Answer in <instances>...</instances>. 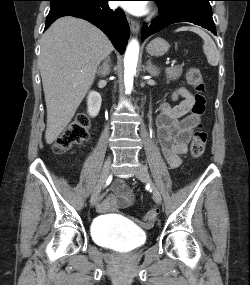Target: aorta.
<instances>
[{"label": "aorta", "mask_w": 250, "mask_h": 285, "mask_svg": "<svg viewBox=\"0 0 250 285\" xmlns=\"http://www.w3.org/2000/svg\"><path fill=\"white\" fill-rule=\"evenodd\" d=\"M139 56V43L136 39H132L125 52L124 57V84L126 93H130L133 88V78L136 72Z\"/></svg>", "instance_id": "obj_1"}]
</instances>
